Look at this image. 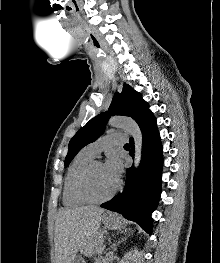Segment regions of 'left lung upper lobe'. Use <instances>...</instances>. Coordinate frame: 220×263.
I'll use <instances>...</instances> for the list:
<instances>
[{"label": "left lung upper lobe", "instance_id": "1", "mask_svg": "<svg viewBox=\"0 0 220 263\" xmlns=\"http://www.w3.org/2000/svg\"><path fill=\"white\" fill-rule=\"evenodd\" d=\"M114 115H124L133 118L138 123L141 131L155 120L152 112L149 110V105L142 99L140 93L128 84H125L120 94L115 93L108 112L101 113L92 118L70 140L65 167L69 165L71 160L84 146L100 137L109 117Z\"/></svg>", "mask_w": 220, "mask_h": 263}]
</instances>
